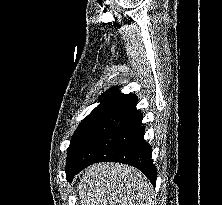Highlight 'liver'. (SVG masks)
Listing matches in <instances>:
<instances>
[{
	"mask_svg": "<svg viewBox=\"0 0 222 205\" xmlns=\"http://www.w3.org/2000/svg\"><path fill=\"white\" fill-rule=\"evenodd\" d=\"M81 205H153V187L134 167L97 163L82 174L78 185Z\"/></svg>",
	"mask_w": 222,
	"mask_h": 205,
	"instance_id": "liver-1",
	"label": "liver"
}]
</instances>
